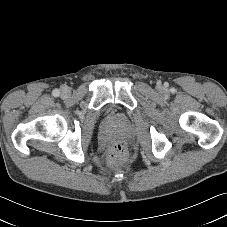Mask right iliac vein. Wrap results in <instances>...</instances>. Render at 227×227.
<instances>
[{"mask_svg": "<svg viewBox=\"0 0 227 227\" xmlns=\"http://www.w3.org/2000/svg\"><path fill=\"white\" fill-rule=\"evenodd\" d=\"M69 93H70L69 89L64 88V89L62 90V92H61V95H62L63 97H67V96H69Z\"/></svg>", "mask_w": 227, "mask_h": 227, "instance_id": "63e3f726", "label": "right iliac vein"}]
</instances>
